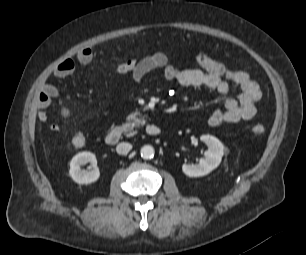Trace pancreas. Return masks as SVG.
Returning a JSON list of instances; mask_svg holds the SVG:
<instances>
[{
  "instance_id": "pancreas-1",
  "label": "pancreas",
  "mask_w": 306,
  "mask_h": 255,
  "mask_svg": "<svg viewBox=\"0 0 306 255\" xmlns=\"http://www.w3.org/2000/svg\"><path fill=\"white\" fill-rule=\"evenodd\" d=\"M145 119L138 112H132L127 116V124L131 127H140L145 124Z\"/></svg>"
}]
</instances>
